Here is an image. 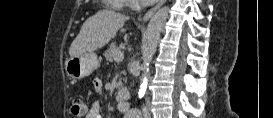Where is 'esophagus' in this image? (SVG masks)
<instances>
[{"instance_id": "esophagus-1", "label": "esophagus", "mask_w": 273, "mask_h": 118, "mask_svg": "<svg viewBox=\"0 0 273 118\" xmlns=\"http://www.w3.org/2000/svg\"><path fill=\"white\" fill-rule=\"evenodd\" d=\"M165 2L166 0H160L153 8L148 10L143 17V21L144 22L148 21L153 16V14L157 11V9H159Z\"/></svg>"}]
</instances>
